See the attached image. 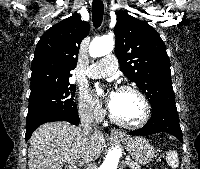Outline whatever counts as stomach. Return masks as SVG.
I'll list each match as a JSON object with an SVG mask.
<instances>
[{
	"label": "stomach",
	"mask_w": 200,
	"mask_h": 169,
	"mask_svg": "<svg viewBox=\"0 0 200 169\" xmlns=\"http://www.w3.org/2000/svg\"><path fill=\"white\" fill-rule=\"evenodd\" d=\"M131 157L138 163V164H147L149 163L154 155L155 149L149 143L148 140L142 137H135V138H124L121 140Z\"/></svg>",
	"instance_id": "1"
}]
</instances>
